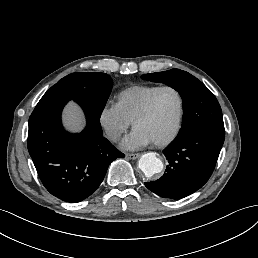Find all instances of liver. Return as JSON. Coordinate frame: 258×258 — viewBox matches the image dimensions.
<instances>
[{
	"label": "liver",
	"mask_w": 258,
	"mask_h": 258,
	"mask_svg": "<svg viewBox=\"0 0 258 258\" xmlns=\"http://www.w3.org/2000/svg\"><path fill=\"white\" fill-rule=\"evenodd\" d=\"M61 123L63 129L71 134L78 135L83 132L87 125L86 114L82 106L74 99L69 100L61 112Z\"/></svg>",
	"instance_id": "liver-1"
}]
</instances>
